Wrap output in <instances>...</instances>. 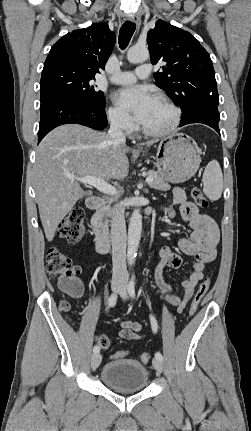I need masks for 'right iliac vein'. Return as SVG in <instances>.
<instances>
[{
  "label": "right iliac vein",
  "mask_w": 251,
  "mask_h": 431,
  "mask_svg": "<svg viewBox=\"0 0 251 431\" xmlns=\"http://www.w3.org/2000/svg\"><path fill=\"white\" fill-rule=\"evenodd\" d=\"M113 292H119L120 288H121V284L118 281H115L112 283L111 286ZM102 360V356L100 353H95L92 358H91V367L93 370L97 369L98 366L100 365Z\"/></svg>",
  "instance_id": "1"
}]
</instances>
